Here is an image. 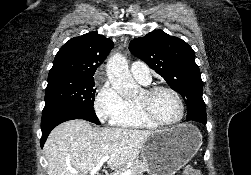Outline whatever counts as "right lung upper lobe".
<instances>
[{"instance_id": "right-lung-upper-lobe-1", "label": "right lung upper lobe", "mask_w": 251, "mask_h": 175, "mask_svg": "<svg viewBox=\"0 0 251 175\" xmlns=\"http://www.w3.org/2000/svg\"><path fill=\"white\" fill-rule=\"evenodd\" d=\"M113 48V41L96 32L70 39L55 56L48 78L94 82L96 69Z\"/></svg>"}]
</instances>
